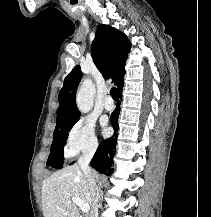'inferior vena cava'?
<instances>
[{
    "label": "inferior vena cava",
    "instance_id": "obj_1",
    "mask_svg": "<svg viewBox=\"0 0 211 217\" xmlns=\"http://www.w3.org/2000/svg\"><path fill=\"white\" fill-rule=\"evenodd\" d=\"M96 151V147H91L83 153V155L78 159V164L85 174L90 188L92 205L89 217H98V202L100 198L99 189L96 185V181L92 175L91 169L89 168V163Z\"/></svg>",
    "mask_w": 211,
    "mask_h": 217
}]
</instances>
